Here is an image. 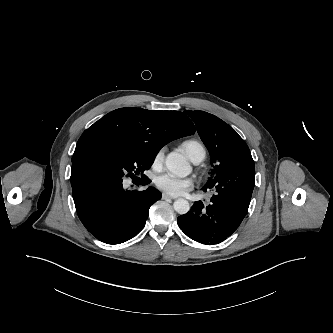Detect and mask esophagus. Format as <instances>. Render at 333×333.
Masks as SVG:
<instances>
[{"label": "esophagus", "instance_id": "obj_1", "mask_svg": "<svg viewBox=\"0 0 333 333\" xmlns=\"http://www.w3.org/2000/svg\"><path fill=\"white\" fill-rule=\"evenodd\" d=\"M162 199H171L172 200V199H175V198L166 194V193H162Z\"/></svg>", "mask_w": 333, "mask_h": 333}]
</instances>
